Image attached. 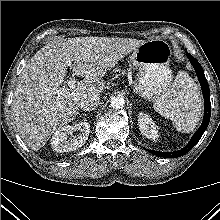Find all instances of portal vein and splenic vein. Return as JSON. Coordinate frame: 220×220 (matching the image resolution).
Segmentation results:
<instances>
[{"mask_svg": "<svg viewBox=\"0 0 220 220\" xmlns=\"http://www.w3.org/2000/svg\"><path fill=\"white\" fill-rule=\"evenodd\" d=\"M67 85H68V88H62V89H59V90L55 91V94L57 95L58 99H60L62 96H65L66 94L69 93L70 90L75 88V86H76V79H75V77L70 78L67 81Z\"/></svg>", "mask_w": 220, "mask_h": 220, "instance_id": "18ae733b", "label": "portal vein and splenic vein"}]
</instances>
